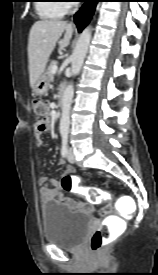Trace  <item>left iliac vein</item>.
Instances as JSON below:
<instances>
[{
    "label": "left iliac vein",
    "mask_w": 158,
    "mask_h": 275,
    "mask_svg": "<svg viewBox=\"0 0 158 275\" xmlns=\"http://www.w3.org/2000/svg\"><path fill=\"white\" fill-rule=\"evenodd\" d=\"M67 159H68V161L70 163H74L75 162L74 151H73L72 148H69V150H68Z\"/></svg>",
    "instance_id": "left-iliac-vein-1"
}]
</instances>
